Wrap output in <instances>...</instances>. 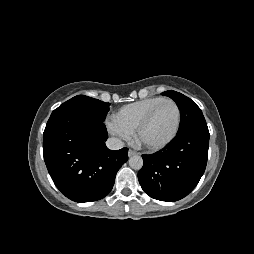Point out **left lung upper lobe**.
<instances>
[{
    "label": "left lung upper lobe",
    "mask_w": 254,
    "mask_h": 254,
    "mask_svg": "<svg viewBox=\"0 0 254 254\" xmlns=\"http://www.w3.org/2000/svg\"><path fill=\"white\" fill-rule=\"evenodd\" d=\"M162 95L173 99L181 111V124L178 134L195 128H208L201 109L197 104L186 97L185 95L176 91H165Z\"/></svg>",
    "instance_id": "5c2ea615"
}]
</instances>
